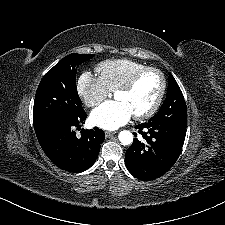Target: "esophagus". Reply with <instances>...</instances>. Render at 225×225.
I'll return each mask as SVG.
<instances>
[{
  "instance_id": "34e87169",
  "label": "esophagus",
  "mask_w": 225,
  "mask_h": 225,
  "mask_svg": "<svg viewBox=\"0 0 225 225\" xmlns=\"http://www.w3.org/2000/svg\"><path fill=\"white\" fill-rule=\"evenodd\" d=\"M114 134H116L115 131H106V132H105L106 137H111V136H113Z\"/></svg>"
}]
</instances>
